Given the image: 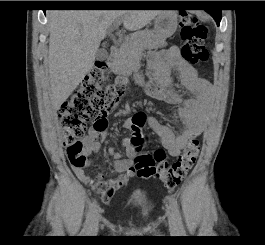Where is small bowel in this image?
Here are the masks:
<instances>
[{
    "label": "small bowel",
    "instance_id": "small-bowel-1",
    "mask_svg": "<svg viewBox=\"0 0 265 245\" xmlns=\"http://www.w3.org/2000/svg\"><path fill=\"white\" fill-rule=\"evenodd\" d=\"M147 69L152 78L145 89L148 95L155 99L164 100L171 104H179L176 117L179 119L183 131L176 134L169 126L162 123L157 117H148L150 127L159 136L162 145L171 156H178L191 137L199 135L205 127L200 113L206 107L213 91L212 85L198 76L197 70L182 57L178 47L172 46L161 51H151L147 55ZM176 72L189 96H182L174 90L172 73ZM124 127L132 130L131 120L124 121ZM107 137L106 127L99 130L92 128L84 141V155L89 157L98 152L100 140ZM126 156L110 148L108 153L114 160V170L117 176L106 179L104 174L91 176L84 167H74L76 176L84 184L97 189L107 199L112 197L133 176L131 163L135 157V149L131 138L122 141ZM85 166H90V160ZM111 187V190H109Z\"/></svg>",
    "mask_w": 265,
    "mask_h": 245
}]
</instances>
